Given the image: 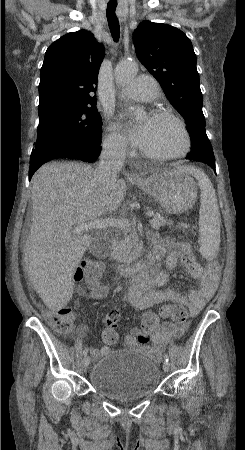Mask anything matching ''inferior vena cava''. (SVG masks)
Masks as SVG:
<instances>
[{
  "instance_id": "602c4592",
  "label": "inferior vena cava",
  "mask_w": 245,
  "mask_h": 450,
  "mask_svg": "<svg viewBox=\"0 0 245 450\" xmlns=\"http://www.w3.org/2000/svg\"><path fill=\"white\" fill-rule=\"evenodd\" d=\"M126 157V146L121 141H112L103 146L100 155L99 166L95 170V175L109 190L117 180V174L122 169Z\"/></svg>"
}]
</instances>
